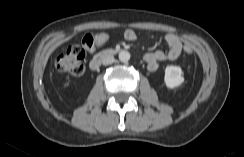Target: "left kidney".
Returning a JSON list of instances; mask_svg holds the SVG:
<instances>
[{
	"instance_id": "5707ae66",
	"label": "left kidney",
	"mask_w": 244,
	"mask_h": 157,
	"mask_svg": "<svg viewBox=\"0 0 244 157\" xmlns=\"http://www.w3.org/2000/svg\"><path fill=\"white\" fill-rule=\"evenodd\" d=\"M165 84L168 88H177L184 82L183 70L179 66L169 65L165 69Z\"/></svg>"
}]
</instances>
